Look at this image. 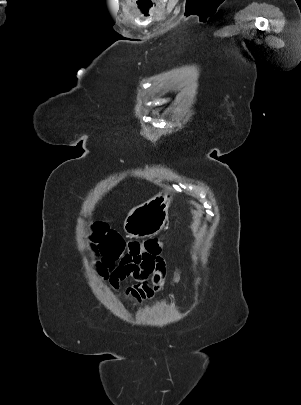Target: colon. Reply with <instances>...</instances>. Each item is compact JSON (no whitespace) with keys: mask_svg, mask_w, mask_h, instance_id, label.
Masks as SVG:
<instances>
[{"mask_svg":"<svg viewBox=\"0 0 301 405\" xmlns=\"http://www.w3.org/2000/svg\"><path fill=\"white\" fill-rule=\"evenodd\" d=\"M168 226L164 225L162 231L150 237L143 242H126L122 236L109 228L106 223L94 222L90 225V241L93 249L99 253L101 261L108 266L114 265L121 258L154 256L161 252L162 242L159 240L162 236L168 234Z\"/></svg>","mask_w":301,"mask_h":405,"instance_id":"1","label":"colon"}]
</instances>
